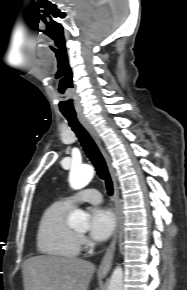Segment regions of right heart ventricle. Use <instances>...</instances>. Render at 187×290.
Instances as JSON below:
<instances>
[{
  "label": "right heart ventricle",
  "mask_w": 187,
  "mask_h": 290,
  "mask_svg": "<svg viewBox=\"0 0 187 290\" xmlns=\"http://www.w3.org/2000/svg\"><path fill=\"white\" fill-rule=\"evenodd\" d=\"M70 209L64 201H56L42 213L37 229V247L42 254L57 258H74L79 254V236L66 221Z\"/></svg>",
  "instance_id": "right-heart-ventricle-1"
}]
</instances>
